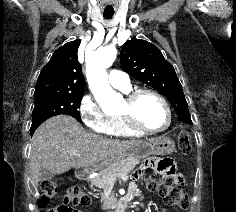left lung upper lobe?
<instances>
[{"label":"left lung upper lobe","instance_id":"5c2ea615","mask_svg":"<svg viewBox=\"0 0 236 212\" xmlns=\"http://www.w3.org/2000/svg\"><path fill=\"white\" fill-rule=\"evenodd\" d=\"M120 61L128 74L167 97L176 110L178 119L192 124L174 67L165 60L155 45L146 40L132 38L123 45Z\"/></svg>","mask_w":236,"mask_h":212}]
</instances>
